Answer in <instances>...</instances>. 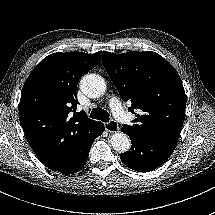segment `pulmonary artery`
Here are the masks:
<instances>
[{
    "label": "pulmonary artery",
    "instance_id": "pulmonary-artery-1",
    "mask_svg": "<svg viewBox=\"0 0 215 215\" xmlns=\"http://www.w3.org/2000/svg\"><path fill=\"white\" fill-rule=\"evenodd\" d=\"M106 106L111 110V114L116 122L121 125L131 126L135 122L133 114L128 113L122 106L120 100L115 97H110L106 101Z\"/></svg>",
    "mask_w": 215,
    "mask_h": 215
}]
</instances>
